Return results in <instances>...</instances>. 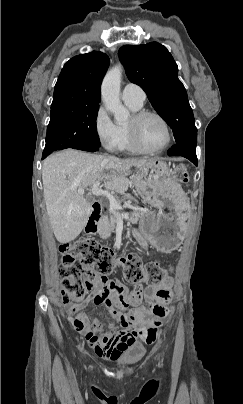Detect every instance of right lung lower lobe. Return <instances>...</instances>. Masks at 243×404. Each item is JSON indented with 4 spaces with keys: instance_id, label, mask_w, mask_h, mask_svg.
Returning a JSON list of instances; mask_svg holds the SVG:
<instances>
[{
    "instance_id": "right-lung-lower-lobe-1",
    "label": "right lung lower lobe",
    "mask_w": 243,
    "mask_h": 404,
    "mask_svg": "<svg viewBox=\"0 0 243 404\" xmlns=\"http://www.w3.org/2000/svg\"><path fill=\"white\" fill-rule=\"evenodd\" d=\"M73 149H79L84 151L94 152L99 150V146H91V145H75L72 147Z\"/></svg>"
}]
</instances>
